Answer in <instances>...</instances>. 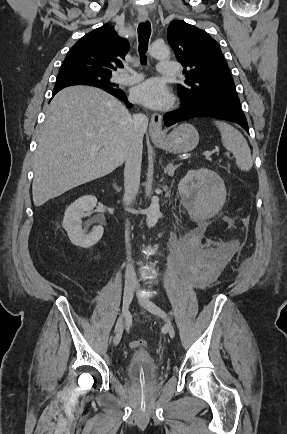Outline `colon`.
<instances>
[{
	"mask_svg": "<svg viewBox=\"0 0 287 434\" xmlns=\"http://www.w3.org/2000/svg\"><path fill=\"white\" fill-rule=\"evenodd\" d=\"M131 348L144 349L146 348V342L143 340H134L130 343Z\"/></svg>",
	"mask_w": 287,
	"mask_h": 434,
	"instance_id": "1",
	"label": "colon"
}]
</instances>
